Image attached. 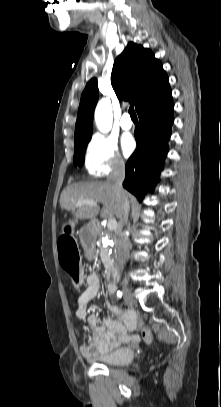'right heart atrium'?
<instances>
[{
  "mask_svg": "<svg viewBox=\"0 0 221 407\" xmlns=\"http://www.w3.org/2000/svg\"><path fill=\"white\" fill-rule=\"evenodd\" d=\"M84 160L88 173L94 177L120 170L125 165L116 142L99 134L94 135L89 141Z\"/></svg>",
  "mask_w": 221,
  "mask_h": 407,
  "instance_id": "1",
  "label": "right heart atrium"
}]
</instances>
